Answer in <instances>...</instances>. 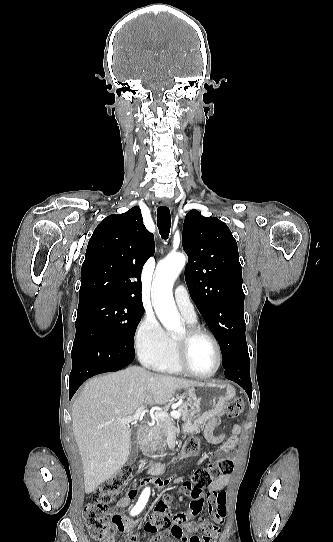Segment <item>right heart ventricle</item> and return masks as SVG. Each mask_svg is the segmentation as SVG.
Wrapping results in <instances>:
<instances>
[{"label": "right heart ventricle", "instance_id": "right-heart-ventricle-1", "mask_svg": "<svg viewBox=\"0 0 333 542\" xmlns=\"http://www.w3.org/2000/svg\"><path fill=\"white\" fill-rule=\"evenodd\" d=\"M187 321L190 324L195 323L189 320ZM167 340H168L167 346L162 351L143 357L141 358V361L146 367L157 370V371L168 372V373H180L181 368L177 364L176 359L174 357L173 338L167 335Z\"/></svg>", "mask_w": 333, "mask_h": 542}]
</instances>
